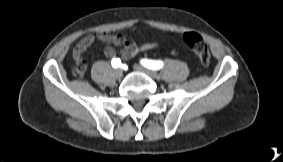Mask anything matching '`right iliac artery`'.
<instances>
[{
  "mask_svg": "<svg viewBox=\"0 0 283 162\" xmlns=\"http://www.w3.org/2000/svg\"><path fill=\"white\" fill-rule=\"evenodd\" d=\"M111 64L114 68H117L121 65V60L119 58H113Z\"/></svg>",
  "mask_w": 283,
  "mask_h": 162,
  "instance_id": "obj_1",
  "label": "right iliac artery"
}]
</instances>
